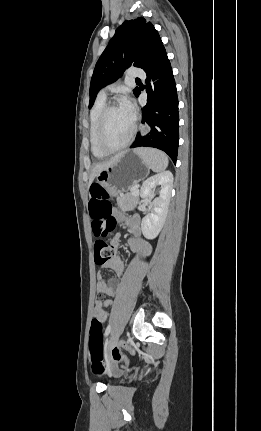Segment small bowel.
Instances as JSON below:
<instances>
[{
    "mask_svg": "<svg viewBox=\"0 0 261 431\" xmlns=\"http://www.w3.org/2000/svg\"><path fill=\"white\" fill-rule=\"evenodd\" d=\"M118 219L120 221H125L130 229L132 237L128 239L129 248L140 256H147L151 252L150 244L140 237L141 235V221L140 217L137 215L125 217L124 215L119 214ZM110 244L114 249L115 253L111 259L106 261L105 263L99 265L101 268L112 269L116 274L121 275L124 271V265L121 260L119 253L117 252L120 246L119 237L116 235L111 238ZM96 288L98 293L104 294L110 297H113L117 291V283L116 280L104 279L101 273L97 274V284ZM112 305L111 300H106L103 302H96L94 308V318L99 319L101 322H105L108 317L107 308Z\"/></svg>",
    "mask_w": 261,
    "mask_h": 431,
    "instance_id": "1",
    "label": "small bowel"
}]
</instances>
